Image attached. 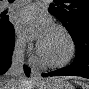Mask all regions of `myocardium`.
Listing matches in <instances>:
<instances>
[{"mask_svg": "<svg viewBox=\"0 0 89 89\" xmlns=\"http://www.w3.org/2000/svg\"><path fill=\"white\" fill-rule=\"evenodd\" d=\"M54 28L57 29L58 31H60L65 36V38L68 42L69 50H68L67 56L60 61H51L44 55L42 47L39 43L37 44V54H38V58H39L40 62L44 66L50 67V68H60V67H64V66L68 65L74 58L75 43H74L72 35L67 30V28H65L63 25L56 24V25H54Z\"/></svg>", "mask_w": 89, "mask_h": 89, "instance_id": "obj_1", "label": "myocardium"}]
</instances>
